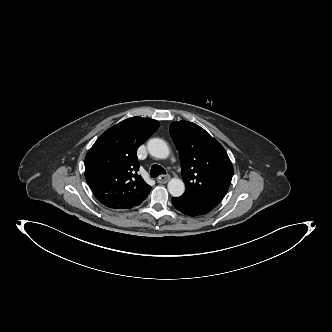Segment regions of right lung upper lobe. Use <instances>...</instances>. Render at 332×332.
<instances>
[{
    "label": "right lung upper lobe",
    "mask_w": 332,
    "mask_h": 332,
    "mask_svg": "<svg viewBox=\"0 0 332 332\" xmlns=\"http://www.w3.org/2000/svg\"><path fill=\"white\" fill-rule=\"evenodd\" d=\"M159 126L156 120L132 117L96 140L85 157V178L100 203L130 209L148 196L151 186L138 175L136 152Z\"/></svg>",
    "instance_id": "right-lung-upper-lobe-1"
}]
</instances>
